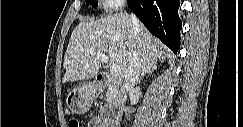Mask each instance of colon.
<instances>
[{"label": "colon", "mask_w": 243, "mask_h": 127, "mask_svg": "<svg viewBox=\"0 0 243 127\" xmlns=\"http://www.w3.org/2000/svg\"><path fill=\"white\" fill-rule=\"evenodd\" d=\"M69 125L71 126V127H78L79 126V123H78V121L77 120H71L70 122H69Z\"/></svg>", "instance_id": "colon-1"}]
</instances>
